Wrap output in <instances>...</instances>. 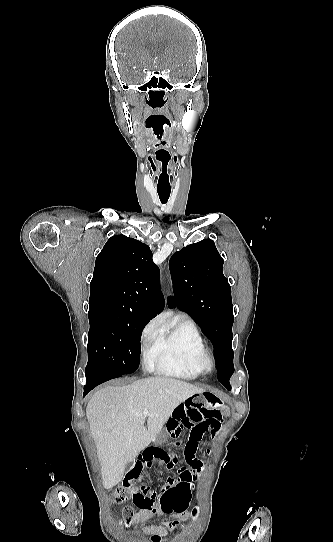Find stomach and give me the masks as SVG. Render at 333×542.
<instances>
[{"mask_svg":"<svg viewBox=\"0 0 333 542\" xmlns=\"http://www.w3.org/2000/svg\"><path fill=\"white\" fill-rule=\"evenodd\" d=\"M186 400H201L203 408H207V410H212V408H220V406L223 404L221 398L216 396V394H212V392H202V394H197L195 397H187ZM171 416H173V414H171ZM167 428L168 424L165 426L163 432H160L159 436L153 440L155 444H163V442L168 440Z\"/></svg>","mask_w":333,"mask_h":542,"instance_id":"stomach-1","label":"stomach"}]
</instances>
